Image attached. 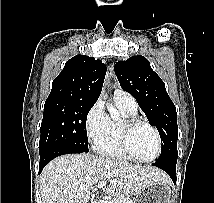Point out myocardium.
<instances>
[{
    "mask_svg": "<svg viewBox=\"0 0 214 203\" xmlns=\"http://www.w3.org/2000/svg\"><path fill=\"white\" fill-rule=\"evenodd\" d=\"M140 125L149 127L153 131L155 138H156V144H157L156 153L154 154V156H152L149 159L137 158L132 153L131 148H130L131 132L133 131L134 128H136L137 126H140ZM120 144H121L122 151L124 152L126 157L129 158L130 160H133L138 163H152L160 156L161 151H162V140H161V136H160L157 128L154 127L148 121L137 118V117H127L124 121L121 122Z\"/></svg>",
    "mask_w": 214,
    "mask_h": 203,
    "instance_id": "1",
    "label": "myocardium"
}]
</instances>
